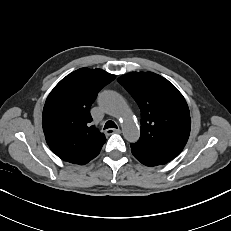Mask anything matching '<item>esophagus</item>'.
<instances>
[{"label": "esophagus", "instance_id": "1", "mask_svg": "<svg viewBox=\"0 0 231 231\" xmlns=\"http://www.w3.org/2000/svg\"><path fill=\"white\" fill-rule=\"evenodd\" d=\"M121 132V130L118 128V129H112V128H110V129H107L106 131H105V133L107 134V135H110V134H112V133H120Z\"/></svg>", "mask_w": 231, "mask_h": 231}]
</instances>
